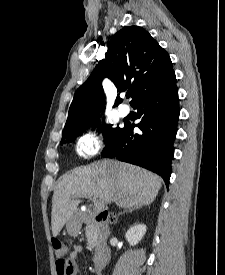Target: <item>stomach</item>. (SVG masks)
Here are the masks:
<instances>
[{"mask_svg": "<svg viewBox=\"0 0 225 275\" xmlns=\"http://www.w3.org/2000/svg\"><path fill=\"white\" fill-rule=\"evenodd\" d=\"M66 227H67L68 233L72 236H75L80 229V225L74 217L69 219Z\"/></svg>", "mask_w": 225, "mask_h": 275, "instance_id": "1", "label": "stomach"}]
</instances>
